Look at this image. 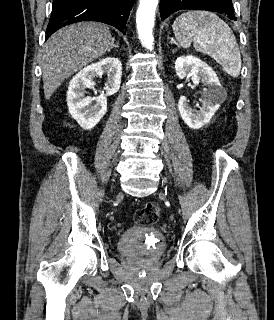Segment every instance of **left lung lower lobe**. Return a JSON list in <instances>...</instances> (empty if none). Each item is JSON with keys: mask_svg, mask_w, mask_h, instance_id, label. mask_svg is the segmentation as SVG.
Segmentation results:
<instances>
[{"mask_svg": "<svg viewBox=\"0 0 274 320\" xmlns=\"http://www.w3.org/2000/svg\"><path fill=\"white\" fill-rule=\"evenodd\" d=\"M159 9L162 20L182 9L218 12L231 20H237L232 0H160Z\"/></svg>", "mask_w": 274, "mask_h": 320, "instance_id": "obj_1", "label": "left lung lower lobe"}]
</instances>
